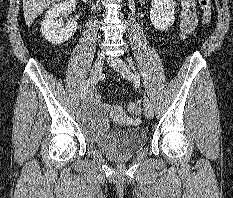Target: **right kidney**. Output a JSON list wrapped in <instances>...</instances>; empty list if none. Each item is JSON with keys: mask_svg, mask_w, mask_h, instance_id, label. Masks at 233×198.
I'll list each match as a JSON object with an SVG mask.
<instances>
[{"mask_svg": "<svg viewBox=\"0 0 233 198\" xmlns=\"http://www.w3.org/2000/svg\"><path fill=\"white\" fill-rule=\"evenodd\" d=\"M76 7V0H65L50 8L42 23L41 32L46 40L54 45L68 41L77 30V22L70 20L65 27L62 20L57 21V18Z\"/></svg>", "mask_w": 233, "mask_h": 198, "instance_id": "1", "label": "right kidney"}]
</instances>
